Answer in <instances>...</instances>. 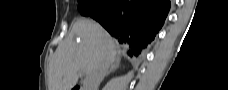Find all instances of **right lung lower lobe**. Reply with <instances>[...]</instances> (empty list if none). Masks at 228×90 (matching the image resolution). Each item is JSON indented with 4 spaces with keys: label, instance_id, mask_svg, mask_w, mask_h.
<instances>
[{
    "label": "right lung lower lobe",
    "instance_id": "obj_1",
    "mask_svg": "<svg viewBox=\"0 0 228 90\" xmlns=\"http://www.w3.org/2000/svg\"><path fill=\"white\" fill-rule=\"evenodd\" d=\"M169 9V0H107L106 7L91 17L129 56L138 57L161 29Z\"/></svg>",
    "mask_w": 228,
    "mask_h": 90
}]
</instances>
